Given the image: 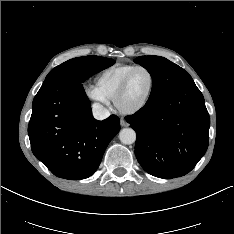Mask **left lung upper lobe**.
<instances>
[{"label":"left lung upper lobe","instance_id":"5c2ea615","mask_svg":"<svg viewBox=\"0 0 234 234\" xmlns=\"http://www.w3.org/2000/svg\"><path fill=\"white\" fill-rule=\"evenodd\" d=\"M146 68L153 79V87L148 101H152L172 87L191 80V76L181 67L160 56H140L134 59Z\"/></svg>","mask_w":234,"mask_h":234}]
</instances>
